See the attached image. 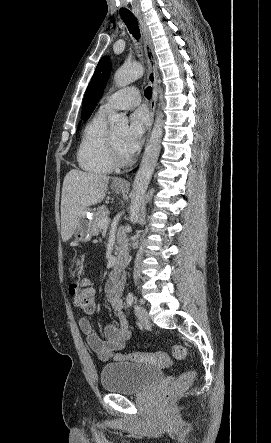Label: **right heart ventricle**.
Returning <instances> with one entry per match:
<instances>
[{"instance_id":"right-heart-ventricle-1","label":"right heart ventricle","mask_w":271,"mask_h":443,"mask_svg":"<svg viewBox=\"0 0 271 443\" xmlns=\"http://www.w3.org/2000/svg\"><path fill=\"white\" fill-rule=\"evenodd\" d=\"M77 162L84 171L93 174H106L114 169L105 113L96 112L86 123L77 150Z\"/></svg>"}]
</instances>
